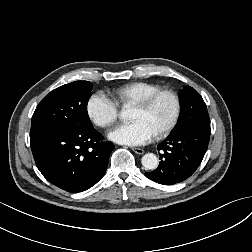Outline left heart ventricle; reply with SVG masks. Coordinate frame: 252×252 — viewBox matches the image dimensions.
Returning a JSON list of instances; mask_svg holds the SVG:
<instances>
[{"instance_id":"left-heart-ventricle-1","label":"left heart ventricle","mask_w":252,"mask_h":252,"mask_svg":"<svg viewBox=\"0 0 252 252\" xmlns=\"http://www.w3.org/2000/svg\"><path fill=\"white\" fill-rule=\"evenodd\" d=\"M173 112V99L169 95H162L148 110L134 107L131 119L144 121L157 133L169 123Z\"/></svg>"}]
</instances>
